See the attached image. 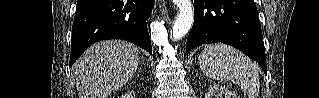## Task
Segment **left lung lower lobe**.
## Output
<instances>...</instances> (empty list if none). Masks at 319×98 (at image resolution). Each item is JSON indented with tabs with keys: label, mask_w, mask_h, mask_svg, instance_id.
I'll return each mask as SVG.
<instances>
[{
	"label": "left lung lower lobe",
	"mask_w": 319,
	"mask_h": 98,
	"mask_svg": "<svg viewBox=\"0 0 319 98\" xmlns=\"http://www.w3.org/2000/svg\"><path fill=\"white\" fill-rule=\"evenodd\" d=\"M195 19L187 53L201 44L222 42L243 51L267 72L263 36L253 0H192Z\"/></svg>",
	"instance_id": "left-lung-lower-lobe-1"
}]
</instances>
